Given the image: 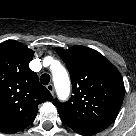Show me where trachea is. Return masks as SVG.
Instances as JSON below:
<instances>
[{"label": "trachea", "mask_w": 136, "mask_h": 136, "mask_svg": "<svg viewBox=\"0 0 136 136\" xmlns=\"http://www.w3.org/2000/svg\"><path fill=\"white\" fill-rule=\"evenodd\" d=\"M40 82L43 84V85H47L49 82H50V76L49 74H42L40 76Z\"/></svg>", "instance_id": "3493384b"}]
</instances>
